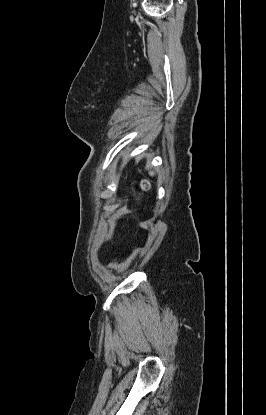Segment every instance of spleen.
Instances as JSON below:
<instances>
[{
	"label": "spleen",
	"instance_id": "spleen-1",
	"mask_svg": "<svg viewBox=\"0 0 266 415\" xmlns=\"http://www.w3.org/2000/svg\"><path fill=\"white\" fill-rule=\"evenodd\" d=\"M149 174H150L151 176H153V175H154V172H153V171H150V172H149Z\"/></svg>",
	"mask_w": 266,
	"mask_h": 415
}]
</instances>
